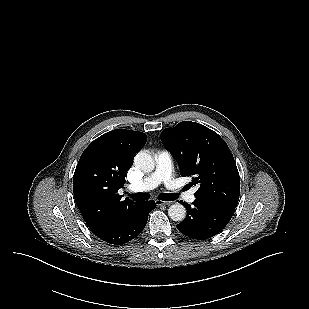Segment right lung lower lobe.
Here are the masks:
<instances>
[{
	"label": "right lung lower lobe",
	"mask_w": 309,
	"mask_h": 309,
	"mask_svg": "<svg viewBox=\"0 0 309 309\" xmlns=\"http://www.w3.org/2000/svg\"><path fill=\"white\" fill-rule=\"evenodd\" d=\"M153 201L138 202L121 214L108 229L97 236L106 243L122 245L136 238L144 229Z\"/></svg>",
	"instance_id": "right-lung-lower-lobe-1"
}]
</instances>
